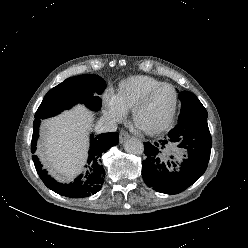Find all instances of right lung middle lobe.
I'll use <instances>...</instances> for the list:
<instances>
[{
    "label": "right lung middle lobe",
    "instance_id": "dd1d6c3e",
    "mask_svg": "<svg viewBox=\"0 0 248 248\" xmlns=\"http://www.w3.org/2000/svg\"><path fill=\"white\" fill-rule=\"evenodd\" d=\"M105 88V81L98 75L70 77L45 95L37 109L35 120L55 116L76 103H83L91 110L97 111L102 104L99 95Z\"/></svg>",
    "mask_w": 248,
    "mask_h": 248
}]
</instances>
